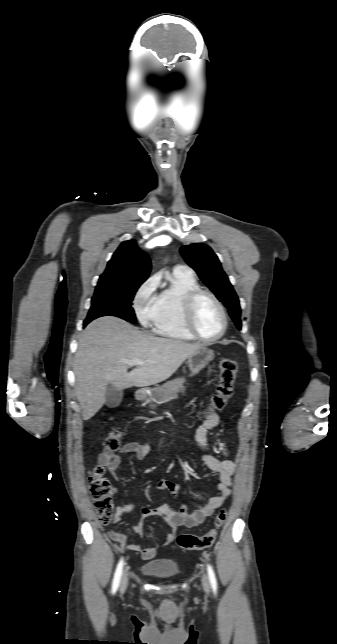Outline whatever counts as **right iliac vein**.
<instances>
[{"mask_svg": "<svg viewBox=\"0 0 337 644\" xmlns=\"http://www.w3.org/2000/svg\"><path fill=\"white\" fill-rule=\"evenodd\" d=\"M128 576L127 573H124L121 579V592H124L127 588Z\"/></svg>", "mask_w": 337, "mask_h": 644, "instance_id": "right-iliac-vein-1", "label": "right iliac vein"}]
</instances>
